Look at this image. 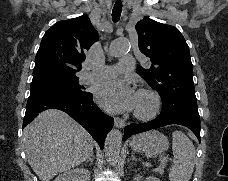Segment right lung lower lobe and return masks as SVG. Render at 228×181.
I'll list each match as a JSON object with an SVG mask.
<instances>
[{
    "mask_svg": "<svg viewBox=\"0 0 228 181\" xmlns=\"http://www.w3.org/2000/svg\"><path fill=\"white\" fill-rule=\"evenodd\" d=\"M46 109H58L68 113L81 124L103 148L107 133L112 129L114 119L105 115L92 101V94L87 92L84 97H72L54 91L31 93L28 98L23 127L38 112Z\"/></svg>",
    "mask_w": 228,
    "mask_h": 181,
    "instance_id": "obj_1",
    "label": "right lung lower lobe"
}]
</instances>
